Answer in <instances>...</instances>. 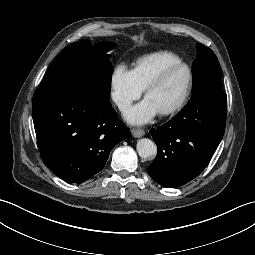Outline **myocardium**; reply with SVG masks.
<instances>
[{
    "mask_svg": "<svg viewBox=\"0 0 255 255\" xmlns=\"http://www.w3.org/2000/svg\"><path fill=\"white\" fill-rule=\"evenodd\" d=\"M175 68H183L186 70L187 75H188V84H187V89L183 95V97L180 99L179 102H177L175 105L160 110L158 111V113L160 115H171V114H175L177 112H179L181 109L184 108V106L187 104L191 94H192V90H193V73L191 68L182 61H177V62H173L170 63L168 65H166L148 84L147 86L144 88V97L146 98L147 94L153 90L154 88H156L164 79L165 77Z\"/></svg>",
    "mask_w": 255,
    "mask_h": 255,
    "instance_id": "myocardium-1",
    "label": "myocardium"
}]
</instances>
